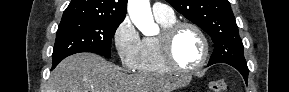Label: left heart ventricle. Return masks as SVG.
<instances>
[{
    "instance_id": "b2bd125f",
    "label": "left heart ventricle",
    "mask_w": 289,
    "mask_h": 92,
    "mask_svg": "<svg viewBox=\"0 0 289 92\" xmlns=\"http://www.w3.org/2000/svg\"><path fill=\"white\" fill-rule=\"evenodd\" d=\"M202 53V41L194 30L184 28L177 34L173 44V56L180 67L191 69L197 66Z\"/></svg>"
}]
</instances>
